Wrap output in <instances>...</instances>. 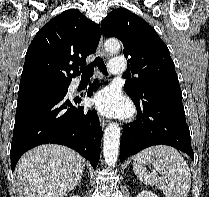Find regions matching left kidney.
<instances>
[{
    "instance_id": "1",
    "label": "left kidney",
    "mask_w": 209,
    "mask_h": 197,
    "mask_svg": "<svg viewBox=\"0 0 209 197\" xmlns=\"http://www.w3.org/2000/svg\"><path fill=\"white\" fill-rule=\"evenodd\" d=\"M136 197H158V196L153 192L143 190Z\"/></svg>"
}]
</instances>
